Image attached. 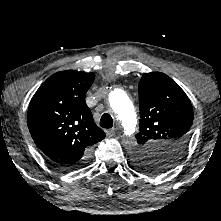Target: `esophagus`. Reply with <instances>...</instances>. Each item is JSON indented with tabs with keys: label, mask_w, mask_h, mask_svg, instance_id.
I'll list each match as a JSON object with an SVG mask.
<instances>
[{
	"label": "esophagus",
	"mask_w": 221,
	"mask_h": 221,
	"mask_svg": "<svg viewBox=\"0 0 221 221\" xmlns=\"http://www.w3.org/2000/svg\"><path fill=\"white\" fill-rule=\"evenodd\" d=\"M116 130H117L116 128L108 129V130L106 131V135L109 136V137H112V136L115 135Z\"/></svg>",
	"instance_id": "obj_1"
}]
</instances>
